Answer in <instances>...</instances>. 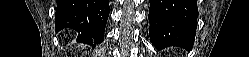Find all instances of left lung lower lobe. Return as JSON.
I'll return each instance as SVG.
<instances>
[{
	"instance_id": "left-lung-lower-lobe-1",
	"label": "left lung lower lobe",
	"mask_w": 249,
	"mask_h": 57,
	"mask_svg": "<svg viewBox=\"0 0 249 57\" xmlns=\"http://www.w3.org/2000/svg\"><path fill=\"white\" fill-rule=\"evenodd\" d=\"M149 35L156 49L176 45L192 49L197 27L196 0H149Z\"/></svg>"
}]
</instances>
